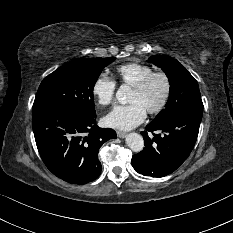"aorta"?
Segmentation results:
<instances>
[{
    "label": "aorta",
    "instance_id": "aorta-1",
    "mask_svg": "<svg viewBox=\"0 0 233 233\" xmlns=\"http://www.w3.org/2000/svg\"><path fill=\"white\" fill-rule=\"evenodd\" d=\"M130 88L126 85H121L116 92V99L121 104H126L129 100ZM127 146L134 152H140L144 148L143 137L138 133H129L126 137Z\"/></svg>",
    "mask_w": 233,
    "mask_h": 233
}]
</instances>
